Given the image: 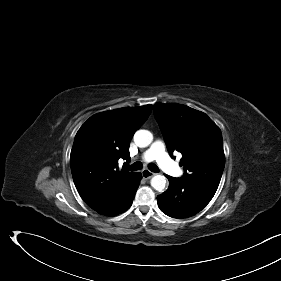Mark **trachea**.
I'll return each mask as SVG.
<instances>
[{
	"label": "trachea",
	"instance_id": "trachea-1",
	"mask_svg": "<svg viewBox=\"0 0 281 281\" xmlns=\"http://www.w3.org/2000/svg\"><path fill=\"white\" fill-rule=\"evenodd\" d=\"M142 167H143V165L141 162H135L130 166L129 169L131 171H137V170H141ZM148 167H149V170L152 172H155V173L159 172V168L155 164H150Z\"/></svg>",
	"mask_w": 281,
	"mask_h": 281
}]
</instances>
